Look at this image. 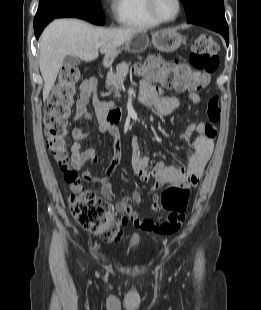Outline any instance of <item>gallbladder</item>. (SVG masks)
I'll list each match as a JSON object with an SVG mask.
<instances>
[{
    "instance_id": "bac80fb5",
    "label": "gallbladder",
    "mask_w": 261,
    "mask_h": 310,
    "mask_svg": "<svg viewBox=\"0 0 261 310\" xmlns=\"http://www.w3.org/2000/svg\"><path fill=\"white\" fill-rule=\"evenodd\" d=\"M63 64L66 67L77 66L80 64V59L78 57H75L72 55H67V56H65V58L63 60Z\"/></svg>"
}]
</instances>
